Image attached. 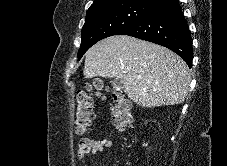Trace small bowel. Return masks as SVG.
<instances>
[{
	"mask_svg": "<svg viewBox=\"0 0 227 166\" xmlns=\"http://www.w3.org/2000/svg\"><path fill=\"white\" fill-rule=\"evenodd\" d=\"M112 145L109 139H92L84 137L79 141L78 149V162L80 166H86L87 158L89 156L97 155L104 151L106 148H110Z\"/></svg>",
	"mask_w": 227,
	"mask_h": 166,
	"instance_id": "small-bowel-1",
	"label": "small bowel"
}]
</instances>
